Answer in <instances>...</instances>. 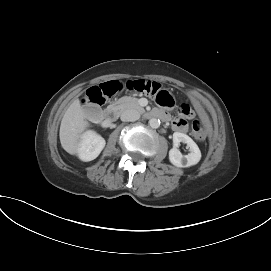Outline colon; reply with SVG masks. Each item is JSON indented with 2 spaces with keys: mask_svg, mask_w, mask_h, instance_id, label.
I'll list each match as a JSON object with an SVG mask.
<instances>
[{
  "mask_svg": "<svg viewBox=\"0 0 271 271\" xmlns=\"http://www.w3.org/2000/svg\"><path fill=\"white\" fill-rule=\"evenodd\" d=\"M123 89L149 95L163 107H171L174 104L172 95L165 90L161 84L145 79H131L126 82L112 80L98 86H93L87 90L84 102L92 108H98L105 103L107 98L112 97ZM179 110L185 116H191L193 113L192 108L188 103L181 104ZM192 134L194 138L199 141L206 138L207 132L202 121H193Z\"/></svg>",
  "mask_w": 271,
  "mask_h": 271,
  "instance_id": "1",
  "label": "colon"
}]
</instances>
